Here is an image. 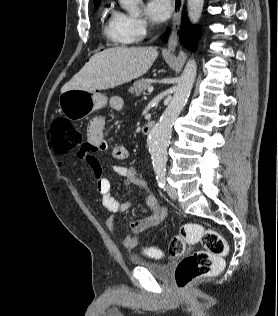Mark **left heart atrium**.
Wrapping results in <instances>:
<instances>
[{
	"label": "left heart atrium",
	"instance_id": "left-heart-atrium-1",
	"mask_svg": "<svg viewBox=\"0 0 278 316\" xmlns=\"http://www.w3.org/2000/svg\"><path fill=\"white\" fill-rule=\"evenodd\" d=\"M172 11L171 0H149L146 13L155 22H162L169 18Z\"/></svg>",
	"mask_w": 278,
	"mask_h": 316
}]
</instances>
